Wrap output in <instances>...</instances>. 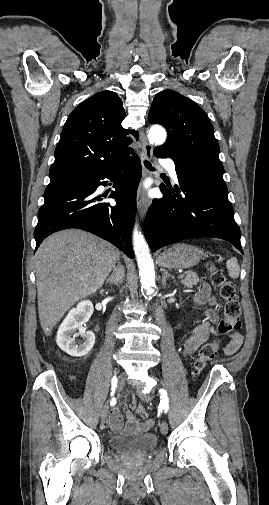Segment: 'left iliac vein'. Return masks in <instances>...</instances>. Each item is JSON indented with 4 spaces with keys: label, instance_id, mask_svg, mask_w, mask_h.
Segmentation results:
<instances>
[{
    "label": "left iliac vein",
    "instance_id": "obj_1",
    "mask_svg": "<svg viewBox=\"0 0 269 505\" xmlns=\"http://www.w3.org/2000/svg\"><path fill=\"white\" fill-rule=\"evenodd\" d=\"M137 389V392L139 394V396L145 400V401H149L150 400V395L149 394H144L143 393V389H142V386L141 385H137L136 387ZM160 431L163 435H166L167 432H168V423L166 422V420H162L161 423H160Z\"/></svg>",
    "mask_w": 269,
    "mask_h": 505
}]
</instances>
